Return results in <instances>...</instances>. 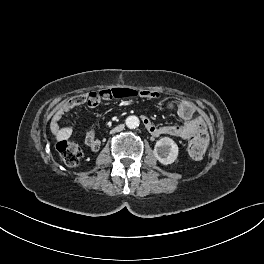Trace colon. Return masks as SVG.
Segmentation results:
<instances>
[{
    "label": "colon",
    "mask_w": 264,
    "mask_h": 264,
    "mask_svg": "<svg viewBox=\"0 0 264 264\" xmlns=\"http://www.w3.org/2000/svg\"><path fill=\"white\" fill-rule=\"evenodd\" d=\"M135 92L129 89H112L102 90L98 92H91L87 94L86 98L89 104H98L102 100H110L114 98H125L134 96ZM208 144V134L205 129L201 128L193 137L187 142V150L193 158H201ZM56 149L62 160L70 166L76 165L81 157L82 150L79 145L61 140L57 143Z\"/></svg>",
    "instance_id": "obj_1"
}]
</instances>
